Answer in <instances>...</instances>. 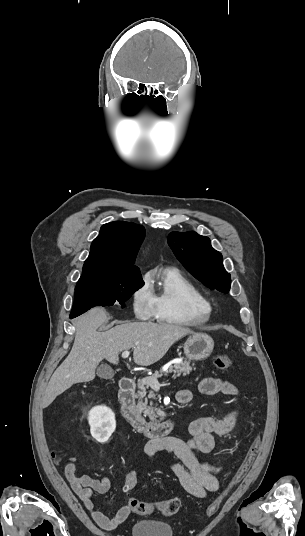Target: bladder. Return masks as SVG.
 I'll use <instances>...</instances> for the list:
<instances>
[{"label": "bladder", "instance_id": "obj_1", "mask_svg": "<svg viewBox=\"0 0 305 536\" xmlns=\"http://www.w3.org/2000/svg\"><path fill=\"white\" fill-rule=\"evenodd\" d=\"M130 534V536H174V528L172 523L146 517L132 525Z\"/></svg>", "mask_w": 305, "mask_h": 536}]
</instances>
